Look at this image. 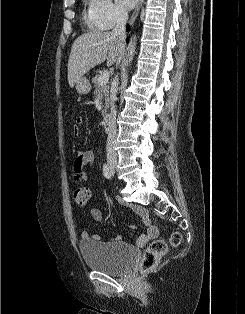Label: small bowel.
Returning a JSON list of instances; mask_svg holds the SVG:
<instances>
[{
  "label": "small bowel",
  "mask_w": 245,
  "mask_h": 314,
  "mask_svg": "<svg viewBox=\"0 0 245 314\" xmlns=\"http://www.w3.org/2000/svg\"><path fill=\"white\" fill-rule=\"evenodd\" d=\"M82 123L81 118H77L75 124L73 126V132L75 135L79 133V125ZM95 154L93 151L85 150L79 151L73 162V173L74 180L77 183H84L87 180V174L84 171V167L86 165H94L95 164ZM134 211L141 217L143 223L146 226V233L141 234L137 239V244L139 246H145L151 239H154L158 236V229L149 222L147 211L140 206H133ZM91 217L94 221L101 222L104 220L103 213L101 210L97 208H93L91 210ZM81 237L84 241L86 240H98L100 238L97 234H91L89 231H83ZM110 241L120 242L121 236L115 235Z\"/></svg>",
  "instance_id": "obj_1"
}]
</instances>
